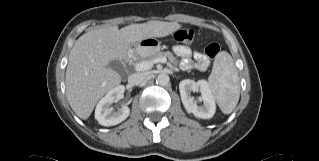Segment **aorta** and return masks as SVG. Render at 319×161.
<instances>
[{
  "label": "aorta",
  "mask_w": 319,
  "mask_h": 161,
  "mask_svg": "<svg viewBox=\"0 0 319 161\" xmlns=\"http://www.w3.org/2000/svg\"><path fill=\"white\" fill-rule=\"evenodd\" d=\"M170 78L169 75L166 73H160L156 78V83L160 86H165L169 83Z\"/></svg>",
  "instance_id": "obj_1"
}]
</instances>
